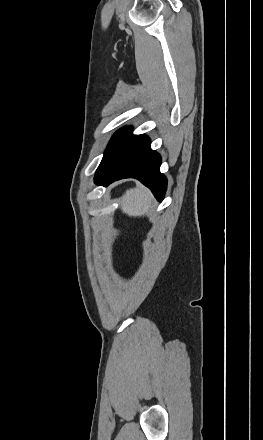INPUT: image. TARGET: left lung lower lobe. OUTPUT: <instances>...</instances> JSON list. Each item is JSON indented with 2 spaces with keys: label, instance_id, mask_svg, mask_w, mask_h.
Masks as SVG:
<instances>
[{
  "label": "left lung lower lobe",
  "instance_id": "obj_1",
  "mask_svg": "<svg viewBox=\"0 0 263 440\" xmlns=\"http://www.w3.org/2000/svg\"><path fill=\"white\" fill-rule=\"evenodd\" d=\"M161 157L150 148L146 135H133L128 127L103 169L97 171L94 182L108 185L122 178H136L151 189L158 201L166 192L167 180L160 173Z\"/></svg>",
  "mask_w": 263,
  "mask_h": 440
}]
</instances>
